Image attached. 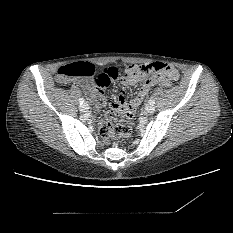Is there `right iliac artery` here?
Listing matches in <instances>:
<instances>
[{
  "label": "right iliac artery",
  "instance_id": "right-iliac-artery-1",
  "mask_svg": "<svg viewBox=\"0 0 233 233\" xmlns=\"http://www.w3.org/2000/svg\"><path fill=\"white\" fill-rule=\"evenodd\" d=\"M85 102V100L83 98L79 99V104L82 105Z\"/></svg>",
  "mask_w": 233,
  "mask_h": 233
}]
</instances>
